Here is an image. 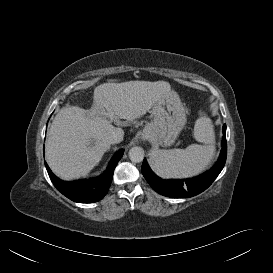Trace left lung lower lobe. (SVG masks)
<instances>
[{
	"mask_svg": "<svg viewBox=\"0 0 273 273\" xmlns=\"http://www.w3.org/2000/svg\"><path fill=\"white\" fill-rule=\"evenodd\" d=\"M222 149L217 163L208 172L191 179L164 180L158 177L144 159L141 171L149 185L159 194L171 198L193 197L206 190L222 171L227 157L226 125H223Z\"/></svg>",
	"mask_w": 273,
	"mask_h": 273,
	"instance_id": "1",
	"label": "left lung lower lobe"
}]
</instances>
